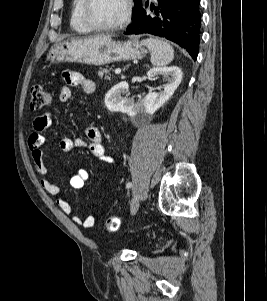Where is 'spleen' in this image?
<instances>
[{"instance_id": "3e777b00", "label": "spleen", "mask_w": 267, "mask_h": 301, "mask_svg": "<svg viewBox=\"0 0 267 301\" xmlns=\"http://www.w3.org/2000/svg\"><path fill=\"white\" fill-rule=\"evenodd\" d=\"M142 44L151 52L153 66L162 67L171 63L174 59V49L166 41L156 38L144 39Z\"/></svg>"}]
</instances>
